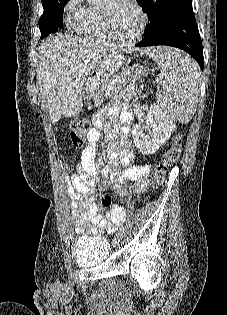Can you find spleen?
Wrapping results in <instances>:
<instances>
[{"label":"spleen","mask_w":227,"mask_h":315,"mask_svg":"<svg viewBox=\"0 0 227 315\" xmlns=\"http://www.w3.org/2000/svg\"><path fill=\"white\" fill-rule=\"evenodd\" d=\"M165 77L157 95L160 109L173 121L189 122L199 98V69L186 54L177 49L158 47L147 51Z\"/></svg>","instance_id":"spleen-1"}]
</instances>
